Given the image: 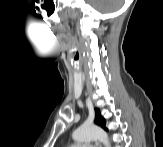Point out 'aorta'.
Segmentation results:
<instances>
[{"label":"aorta","instance_id":"1","mask_svg":"<svg viewBox=\"0 0 163 147\" xmlns=\"http://www.w3.org/2000/svg\"><path fill=\"white\" fill-rule=\"evenodd\" d=\"M73 139L78 142L98 140L102 142L105 147H110L107 133L96 125H81L74 131Z\"/></svg>","mask_w":163,"mask_h":147}]
</instances>
